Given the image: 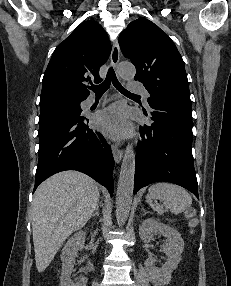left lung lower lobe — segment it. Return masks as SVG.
<instances>
[{
  "mask_svg": "<svg viewBox=\"0 0 231 286\" xmlns=\"http://www.w3.org/2000/svg\"><path fill=\"white\" fill-rule=\"evenodd\" d=\"M149 106L154 123L140 127L142 141L135 158L134 193L151 183L167 181L199 198L192 157L191 105L151 99Z\"/></svg>",
  "mask_w": 231,
  "mask_h": 286,
  "instance_id": "left-lung-lower-lobe-1",
  "label": "left lung lower lobe"
}]
</instances>
